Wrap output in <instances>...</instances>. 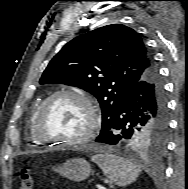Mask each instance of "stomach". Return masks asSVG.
<instances>
[{
	"label": "stomach",
	"instance_id": "0dacf381",
	"mask_svg": "<svg viewBox=\"0 0 188 189\" xmlns=\"http://www.w3.org/2000/svg\"><path fill=\"white\" fill-rule=\"evenodd\" d=\"M55 171L70 180L82 181L89 177L91 166L82 158H74L67 160L63 165L56 168Z\"/></svg>",
	"mask_w": 188,
	"mask_h": 189
}]
</instances>
